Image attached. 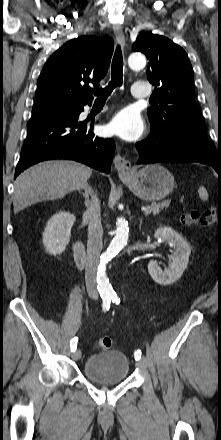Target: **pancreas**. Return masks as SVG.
Segmentation results:
<instances>
[{
	"label": "pancreas",
	"mask_w": 221,
	"mask_h": 440,
	"mask_svg": "<svg viewBox=\"0 0 221 440\" xmlns=\"http://www.w3.org/2000/svg\"><path fill=\"white\" fill-rule=\"evenodd\" d=\"M169 205H170V201L166 200V201H163L161 203H153L151 206H146V207L149 208L150 211L154 215H156V214H158L160 212L161 209L168 208Z\"/></svg>",
	"instance_id": "1"
}]
</instances>
